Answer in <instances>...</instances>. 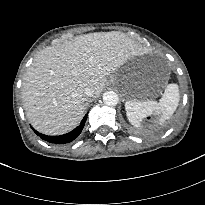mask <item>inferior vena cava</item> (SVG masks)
I'll return each mask as SVG.
<instances>
[{
    "label": "inferior vena cava",
    "instance_id": "obj_1",
    "mask_svg": "<svg viewBox=\"0 0 205 205\" xmlns=\"http://www.w3.org/2000/svg\"><path fill=\"white\" fill-rule=\"evenodd\" d=\"M84 93L87 95V96H92L93 95V89L91 87H86L85 90H84Z\"/></svg>",
    "mask_w": 205,
    "mask_h": 205
}]
</instances>
